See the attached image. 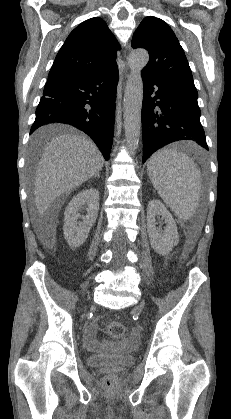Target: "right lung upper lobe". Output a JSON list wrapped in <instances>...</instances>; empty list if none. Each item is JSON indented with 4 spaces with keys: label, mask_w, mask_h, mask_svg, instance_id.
<instances>
[{
    "label": "right lung upper lobe",
    "mask_w": 231,
    "mask_h": 419,
    "mask_svg": "<svg viewBox=\"0 0 231 419\" xmlns=\"http://www.w3.org/2000/svg\"><path fill=\"white\" fill-rule=\"evenodd\" d=\"M120 46L101 18H90L78 25L59 50L48 75V82L99 75L117 67Z\"/></svg>",
    "instance_id": "1"
}]
</instances>
